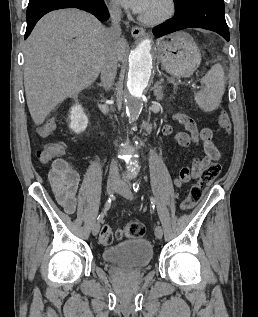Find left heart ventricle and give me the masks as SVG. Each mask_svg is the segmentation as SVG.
Instances as JSON below:
<instances>
[{
  "instance_id": "obj_1",
  "label": "left heart ventricle",
  "mask_w": 258,
  "mask_h": 317,
  "mask_svg": "<svg viewBox=\"0 0 258 317\" xmlns=\"http://www.w3.org/2000/svg\"><path fill=\"white\" fill-rule=\"evenodd\" d=\"M163 10V8H157L156 10H155V13H159V12H161Z\"/></svg>"
}]
</instances>
